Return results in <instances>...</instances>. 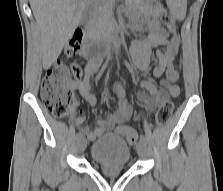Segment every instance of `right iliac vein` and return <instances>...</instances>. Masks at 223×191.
<instances>
[{"label":"right iliac vein","instance_id":"1","mask_svg":"<svg viewBox=\"0 0 223 191\" xmlns=\"http://www.w3.org/2000/svg\"><path fill=\"white\" fill-rule=\"evenodd\" d=\"M87 140L84 137L78 139V150L83 152L86 148Z\"/></svg>","mask_w":223,"mask_h":191}]
</instances>
